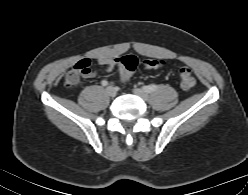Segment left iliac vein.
<instances>
[{
  "label": "left iliac vein",
  "instance_id": "obj_1",
  "mask_svg": "<svg viewBox=\"0 0 248 195\" xmlns=\"http://www.w3.org/2000/svg\"><path fill=\"white\" fill-rule=\"evenodd\" d=\"M133 93L145 101L149 100V95L142 89L136 88L133 90Z\"/></svg>",
  "mask_w": 248,
  "mask_h": 195
}]
</instances>
